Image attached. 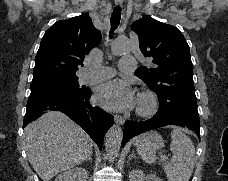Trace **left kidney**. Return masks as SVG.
<instances>
[{"instance_id": "1", "label": "left kidney", "mask_w": 228, "mask_h": 181, "mask_svg": "<svg viewBox=\"0 0 228 181\" xmlns=\"http://www.w3.org/2000/svg\"><path fill=\"white\" fill-rule=\"evenodd\" d=\"M129 181H162L156 175H144L143 171H139V169H134L129 173Z\"/></svg>"}]
</instances>
